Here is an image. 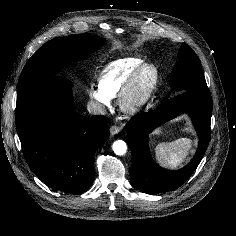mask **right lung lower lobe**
<instances>
[{
    "label": "right lung lower lobe",
    "instance_id": "1",
    "mask_svg": "<svg viewBox=\"0 0 236 236\" xmlns=\"http://www.w3.org/2000/svg\"><path fill=\"white\" fill-rule=\"evenodd\" d=\"M15 120L24 157L39 179L72 194L92 185L94 154L109 128L103 115L73 110L68 80L53 75L18 85Z\"/></svg>",
    "mask_w": 236,
    "mask_h": 236
}]
</instances>
